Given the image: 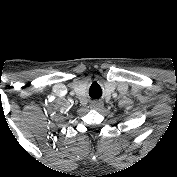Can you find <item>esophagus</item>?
Listing matches in <instances>:
<instances>
[{
	"instance_id": "obj_1",
	"label": "esophagus",
	"mask_w": 177,
	"mask_h": 177,
	"mask_svg": "<svg viewBox=\"0 0 177 177\" xmlns=\"http://www.w3.org/2000/svg\"><path fill=\"white\" fill-rule=\"evenodd\" d=\"M102 106H103V102H102V101H98V100L93 101V102L90 104V107H91L92 109H99V108L102 107Z\"/></svg>"
}]
</instances>
